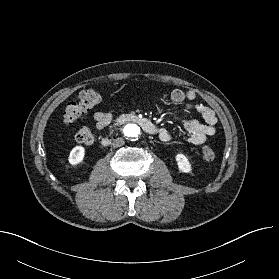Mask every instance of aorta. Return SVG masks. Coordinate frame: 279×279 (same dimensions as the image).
Masks as SVG:
<instances>
[{
	"label": "aorta",
	"mask_w": 279,
	"mask_h": 279,
	"mask_svg": "<svg viewBox=\"0 0 279 279\" xmlns=\"http://www.w3.org/2000/svg\"><path fill=\"white\" fill-rule=\"evenodd\" d=\"M124 135L129 139H136L140 134V127L136 124L130 123L123 128Z\"/></svg>",
	"instance_id": "762f6f07"
}]
</instances>
